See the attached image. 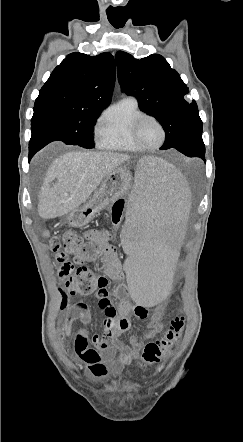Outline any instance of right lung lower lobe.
Returning a JSON list of instances; mask_svg holds the SVG:
<instances>
[{
    "instance_id": "obj_1",
    "label": "right lung lower lobe",
    "mask_w": 243,
    "mask_h": 442,
    "mask_svg": "<svg viewBox=\"0 0 243 442\" xmlns=\"http://www.w3.org/2000/svg\"><path fill=\"white\" fill-rule=\"evenodd\" d=\"M52 138L35 136L31 137L29 142V158H31L38 150L52 142Z\"/></svg>"
}]
</instances>
